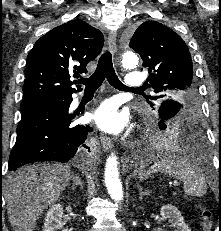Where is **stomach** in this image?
Segmentation results:
<instances>
[{"mask_svg": "<svg viewBox=\"0 0 221 231\" xmlns=\"http://www.w3.org/2000/svg\"><path fill=\"white\" fill-rule=\"evenodd\" d=\"M138 175L141 180L146 179L148 177L146 174L143 173H139Z\"/></svg>", "mask_w": 221, "mask_h": 231, "instance_id": "1", "label": "stomach"}]
</instances>
